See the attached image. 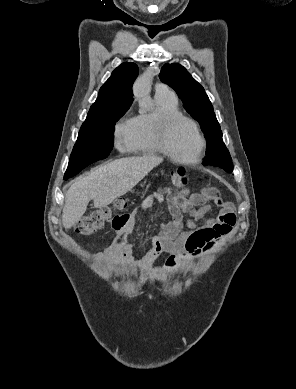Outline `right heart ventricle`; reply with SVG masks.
<instances>
[{
	"mask_svg": "<svg viewBox=\"0 0 296 389\" xmlns=\"http://www.w3.org/2000/svg\"><path fill=\"white\" fill-rule=\"evenodd\" d=\"M156 109L141 113L130 121V137L127 149L136 154L160 155L162 152L157 141V125L161 117L180 113L175 95L156 94Z\"/></svg>",
	"mask_w": 296,
	"mask_h": 389,
	"instance_id": "right-heart-ventricle-1",
	"label": "right heart ventricle"
}]
</instances>
